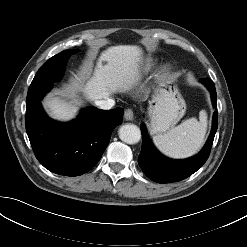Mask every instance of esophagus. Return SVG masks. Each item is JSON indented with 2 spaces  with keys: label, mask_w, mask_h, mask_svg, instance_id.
<instances>
[{
  "label": "esophagus",
  "mask_w": 247,
  "mask_h": 247,
  "mask_svg": "<svg viewBox=\"0 0 247 247\" xmlns=\"http://www.w3.org/2000/svg\"><path fill=\"white\" fill-rule=\"evenodd\" d=\"M124 118L126 121H131L134 118V113L132 109H126L124 112Z\"/></svg>",
  "instance_id": "esophagus-1"
}]
</instances>
